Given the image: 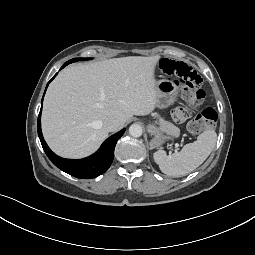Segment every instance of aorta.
I'll list each match as a JSON object with an SVG mask.
<instances>
[{"label": "aorta", "mask_w": 255, "mask_h": 255, "mask_svg": "<svg viewBox=\"0 0 255 255\" xmlns=\"http://www.w3.org/2000/svg\"><path fill=\"white\" fill-rule=\"evenodd\" d=\"M142 127L138 124H132L130 127H129V134L132 136V137H140L142 135Z\"/></svg>", "instance_id": "1"}]
</instances>
